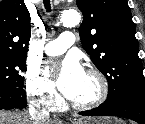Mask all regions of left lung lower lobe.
<instances>
[{
  "instance_id": "0a47b994",
  "label": "left lung lower lobe",
  "mask_w": 145,
  "mask_h": 124,
  "mask_svg": "<svg viewBox=\"0 0 145 124\" xmlns=\"http://www.w3.org/2000/svg\"><path fill=\"white\" fill-rule=\"evenodd\" d=\"M79 114L83 116H118L134 120L139 124H145V98L124 95Z\"/></svg>"
}]
</instances>
